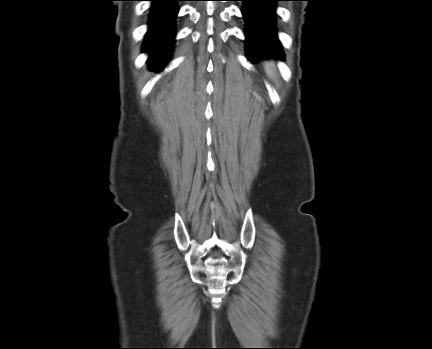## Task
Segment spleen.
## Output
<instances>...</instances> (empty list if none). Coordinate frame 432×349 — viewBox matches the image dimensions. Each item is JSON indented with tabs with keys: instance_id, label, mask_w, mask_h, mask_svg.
I'll return each instance as SVG.
<instances>
[{
	"instance_id": "obj_1",
	"label": "spleen",
	"mask_w": 432,
	"mask_h": 349,
	"mask_svg": "<svg viewBox=\"0 0 432 349\" xmlns=\"http://www.w3.org/2000/svg\"><path fill=\"white\" fill-rule=\"evenodd\" d=\"M264 68H265V71H266V74L268 75V77H270L271 79H274L276 76L275 64L272 61H267L264 63Z\"/></svg>"
}]
</instances>
